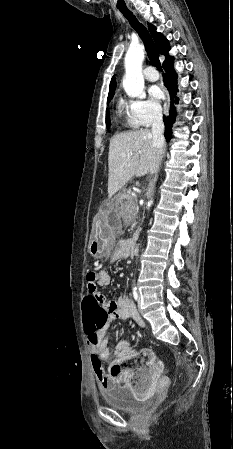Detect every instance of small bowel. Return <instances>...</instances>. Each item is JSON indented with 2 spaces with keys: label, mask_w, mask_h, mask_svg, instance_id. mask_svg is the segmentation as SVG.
I'll use <instances>...</instances> for the list:
<instances>
[{
  "label": "small bowel",
  "mask_w": 233,
  "mask_h": 449,
  "mask_svg": "<svg viewBox=\"0 0 233 449\" xmlns=\"http://www.w3.org/2000/svg\"><path fill=\"white\" fill-rule=\"evenodd\" d=\"M126 256L123 247L117 250L111 258L115 262ZM111 282V276L106 270H88L87 289L92 294L96 303L100 302L101 307L106 308L105 328H84L90 350L91 364L95 376L102 388H108L114 383H121L128 380L129 389L134 390V399H149L150 394H157V377L164 376L162 363H155V354L149 349L137 350L130 344H122L118 347L115 358L108 370L105 369L103 361L108 357V328L112 321L116 319L133 318L139 325L143 322L135 313V307L130 297L122 293L117 301L105 299L101 287H106ZM83 324V319H82ZM138 358L140 365L137 375H133L126 364Z\"/></svg>",
  "instance_id": "small-bowel-1"
}]
</instances>
